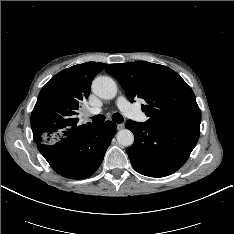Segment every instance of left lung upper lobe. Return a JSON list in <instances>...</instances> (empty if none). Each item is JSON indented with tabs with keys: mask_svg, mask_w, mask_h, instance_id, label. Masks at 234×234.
Here are the masks:
<instances>
[{
	"mask_svg": "<svg viewBox=\"0 0 234 234\" xmlns=\"http://www.w3.org/2000/svg\"><path fill=\"white\" fill-rule=\"evenodd\" d=\"M106 72L118 80L131 102L142 98L149 124L200 125L201 112L186 82L170 68L136 61L110 64Z\"/></svg>",
	"mask_w": 234,
	"mask_h": 234,
	"instance_id": "obj_1",
	"label": "left lung upper lobe"
}]
</instances>
